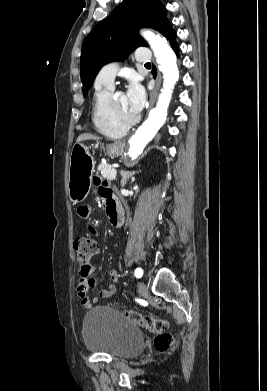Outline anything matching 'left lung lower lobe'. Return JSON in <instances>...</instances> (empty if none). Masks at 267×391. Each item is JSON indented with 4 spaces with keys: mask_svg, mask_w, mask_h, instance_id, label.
I'll list each match as a JSON object with an SVG mask.
<instances>
[{
    "mask_svg": "<svg viewBox=\"0 0 267 391\" xmlns=\"http://www.w3.org/2000/svg\"><path fill=\"white\" fill-rule=\"evenodd\" d=\"M164 37L169 41L171 47L174 49V51L176 52V54L178 55V51H179V47L176 43V33L174 32V30L171 28L169 29L165 34H164ZM153 75L154 77L156 76V69L155 67H153Z\"/></svg>",
    "mask_w": 267,
    "mask_h": 391,
    "instance_id": "left-lung-lower-lobe-1",
    "label": "left lung lower lobe"
}]
</instances>
